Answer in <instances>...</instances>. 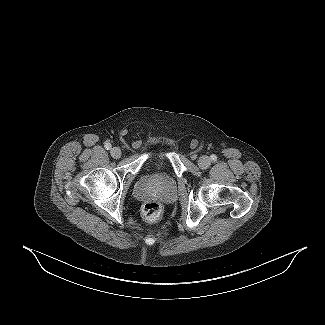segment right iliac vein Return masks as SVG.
Returning a JSON list of instances; mask_svg holds the SVG:
<instances>
[{
	"instance_id": "63e3f726",
	"label": "right iliac vein",
	"mask_w": 325,
	"mask_h": 325,
	"mask_svg": "<svg viewBox=\"0 0 325 325\" xmlns=\"http://www.w3.org/2000/svg\"><path fill=\"white\" fill-rule=\"evenodd\" d=\"M113 158H119L121 156V150L119 147H113L110 151Z\"/></svg>"
}]
</instances>
